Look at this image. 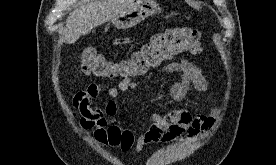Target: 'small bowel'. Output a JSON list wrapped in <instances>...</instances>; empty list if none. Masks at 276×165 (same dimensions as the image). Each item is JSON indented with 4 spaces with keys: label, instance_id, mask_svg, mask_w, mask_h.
<instances>
[{
    "label": "small bowel",
    "instance_id": "small-bowel-1",
    "mask_svg": "<svg viewBox=\"0 0 276 165\" xmlns=\"http://www.w3.org/2000/svg\"><path fill=\"white\" fill-rule=\"evenodd\" d=\"M160 71L179 75L169 90L170 96L176 101H181L186 97L190 86H194L201 92L208 89V82L201 69L188 60L168 62L160 67ZM136 86V82L131 78H123L117 86L106 89L109 100L104 108L93 105L103 91V87L97 83L90 84L74 96V114L80 118L81 126L91 132L94 139L101 145L123 153L135 147L140 153L151 143H167L185 133H187L186 138L192 139L213 126L217 109L213 110L212 116L198 115L195 117L184 109H175L166 114L154 113L148 128L136 136L132 130L116 124L117 104L114 101L120 94L133 90Z\"/></svg>",
    "mask_w": 276,
    "mask_h": 165
}]
</instances>
